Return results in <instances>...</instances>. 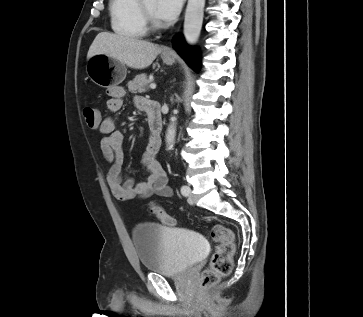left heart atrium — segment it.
I'll list each match as a JSON object with an SVG mask.
<instances>
[{
	"mask_svg": "<svg viewBox=\"0 0 363 317\" xmlns=\"http://www.w3.org/2000/svg\"><path fill=\"white\" fill-rule=\"evenodd\" d=\"M183 0H156V15L165 22H172L179 14Z\"/></svg>",
	"mask_w": 363,
	"mask_h": 317,
	"instance_id": "obj_1",
	"label": "left heart atrium"
}]
</instances>
